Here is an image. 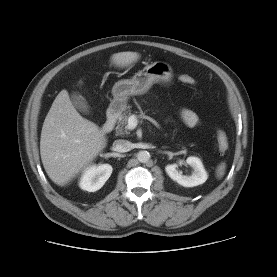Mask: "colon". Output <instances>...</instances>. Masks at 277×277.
<instances>
[{
	"label": "colon",
	"instance_id": "colon-1",
	"mask_svg": "<svg viewBox=\"0 0 277 277\" xmlns=\"http://www.w3.org/2000/svg\"><path fill=\"white\" fill-rule=\"evenodd\" d=\"M179 80L182 83L189 84V85H192L195 83L194 78L188 74L179 75ZM216 139H217V145H218L219 151L221 153L226 152L229 148V139L226 132L222 129H218L216 133Z\"/></svg>",
	"mask_w": 277,
	"mask_h": 277
}]
</instances>
